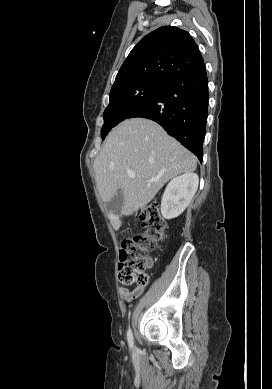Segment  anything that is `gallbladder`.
<instances>
[{"instance_id": "1", "label": "gallbladder", "mask_w": 272, "mask_h": 389, "mask_svg": "<svg viewBox=\"0 0 272 389\" xmlns=\"http://www.w3.org/2000/svg\"><path fill=\"white\" fill-rule=\"evenodd\" d=\"M124 206V197L121 190L117 191L112 199L106 203V207L110 212H119Z\"/></svg>"}]
</instances>
